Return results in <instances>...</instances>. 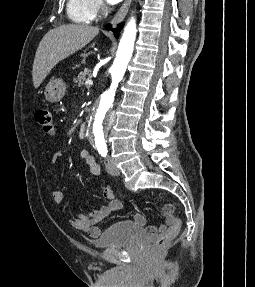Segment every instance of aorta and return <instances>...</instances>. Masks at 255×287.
Listing matches in <instances>:
<instances>
[{
  "instance_id": "obj_1",
  "label": "aorta",
  "mask_w": 255,
  "mask_h": 287,
  "mask_svg": "<svg viewBox=\"0 0 255 287\" xmlns=\"http://www.w3.org/2000/svg\"><path fill=\"white\" fill-rule=\"evenodd\" d=\"M136 31L135 20L131 18L124 29L117 50V56L110 70L112 78L111 86L101 95L100 101L94 106L90 114L87 136L97 147L105 146L106 144L109 113L114 103L116 88L124 76L133 53Z\"/></svg>"
}]
</instances>
